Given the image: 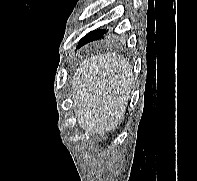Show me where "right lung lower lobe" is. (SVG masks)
Masks as SVG:
<instances>
[{"mask_svg": "<svg viewBox=\"0 0 197 181\" xmlns=\"http://www.w3.org/2000/svg\"><path fill=\"white\" fill-rule=\"evenodd\" d=\"M105 33V30H95L90 32L89 34H87L85 37H83L79 43H78V47L91 42L93 40H98L101 39L103 37V34Z\"/></svg>", "mask_w": 197, "mask_h": 181, "instance_id": "1", "label": "right lung lower lobe"}]
</instances>
